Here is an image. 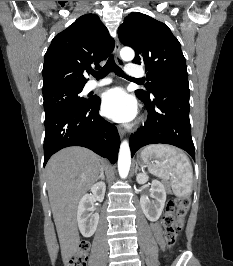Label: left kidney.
Returning <instances> with one entry per match:
<instances>
[{"label": "left kidney", "instance_id": "1", "mask_svg": "<svg viewBox=\"0 0 233 266\" xmlns=\"http://www.w3.org/2000/svg\"><path fill=\"white\" fill-rule=\"evenodd\" d=\"M149 177L145 173L137 175L136 180L139 184H145ZM150 197L154 198L151 201L149 196L142 195L140 197V205L142 211L149 221L155 222L161 216L165 201H166V189L163 183L158 180H153L151 183Z\"/></svg>", "mask_w": 233, "mask_h": 266}]
</instances>
